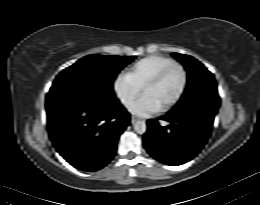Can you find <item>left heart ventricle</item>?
I'll list each match as a JSON object with an SVG mask.
<instances>
[{"label":"left heart ventricle","instance_id":"b2bd125f","mask_svg":"<svg viewBox=\"0 0 260 205\" xmlns=\"http://www.w3.org/2000/svg\"><path fill=\"white\" fill-rule=\"evenodd\" d=\"M182 74L178 70L169 73L162 81L146 91V96L153 99L160 107L166 105L179 91Z\"/></svg>","mask_w":260,"mask_h":205}]
</instances>
